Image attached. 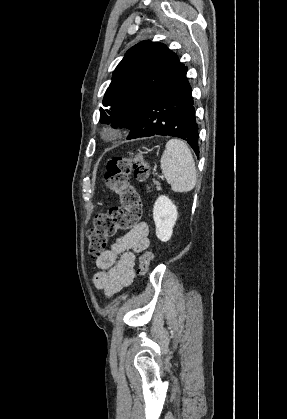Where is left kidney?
Masks as SVG:
<instances>
[{
	"label": "left kidney",
	"mask_w": 287,
	"mask_h": 419,
	"mask_svg": "<svg viewBox=\"0 0 287 419\" xmlns=\"http://www.w3.org/2000/svg\"><path fill=\"white\" fill-rule=\"evenodd\" d=\"M177 216V208L173 202L167 196H159L153 207V219L156 236L162 242H167L171 238Z\"/></svg>",
	"instance_id": "1"
}]
</instances>
